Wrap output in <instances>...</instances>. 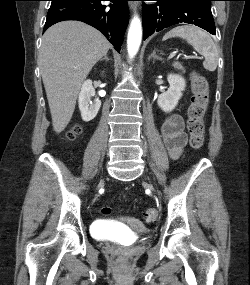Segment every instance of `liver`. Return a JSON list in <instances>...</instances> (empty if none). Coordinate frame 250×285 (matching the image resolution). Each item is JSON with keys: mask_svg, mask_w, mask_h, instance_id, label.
<instances>
[{"mask_svg": "<svg viewBox=\"0 0 250 285\" xmlns=\"http://www.w3.org/2000/svg\"><path fill=\"white\" fill-rule=\"evenodd\" d=\"M109 48L99 31L77 21L58 23L44 33L39 66L55 132L70 122L83 81Z\"/></svg>", "mask_w": 250, "mask_h": 285, "instance_id": "obj_1", "label": "liver"}]
</instances>
